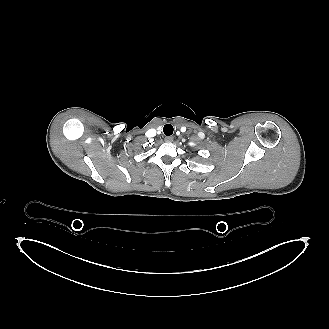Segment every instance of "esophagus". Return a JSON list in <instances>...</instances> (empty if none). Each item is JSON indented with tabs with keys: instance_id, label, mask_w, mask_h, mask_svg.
<instances>
[{
	"instance_id": "esophagus-1",
	"label": "esophagus",
	"mask_w": 329,
	"mask_h": 329,
	"mask_svg": "<svg viewBox=\"0 0 329 329\" xmlns=\"http://www.w3.org/2000/svg\"><path fill=\"white\" fill-rule=\"evenodd\" d=\"M165 141L166 142H172L173 141V137L172 136H166L165 137Z\"/></svg>"
}]
</instances>
